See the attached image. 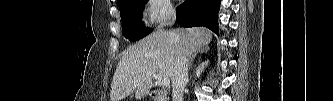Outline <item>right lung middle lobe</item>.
Listing matches in <instances>:
<instances>
[{
  "label": "right lung middle lobe",
  "mask_w": 333,
  "mask_h": 101,
  "mask_svg": "<svg viewBox=\"0 0 333 101\" xmlns=\"http://www.w3.org/2000/svg\"><path fill=\"white\" fill-rule=\"evenodd\" d=\"M148 0H121L118 2L122 20V34L130 41H137L148 35L152 29L142 22V9Z\"/></svg>",
  "instance_id": "1"
}]
</instances>
